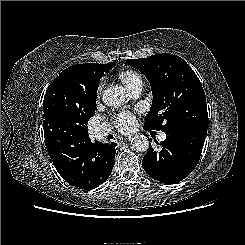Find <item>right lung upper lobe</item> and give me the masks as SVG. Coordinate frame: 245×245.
<instances>
[{"mask_svg": "<svg viewBox=\"0 0 245 245\" xmlns=\"http://www.w3.org/2000/svg\"><path fill=\"white\" fill-rule=\"evenodd\" d=\"M116 62L70 66L49 85L43 101L45 140L75 141L84 136L94 115L92 94L99 80Z\"/></svg>", "mask_w": 245, "mask_h": 245, "instance_id": "cb5924a9", "label": "right lung upper lobe"}]
</instances>
